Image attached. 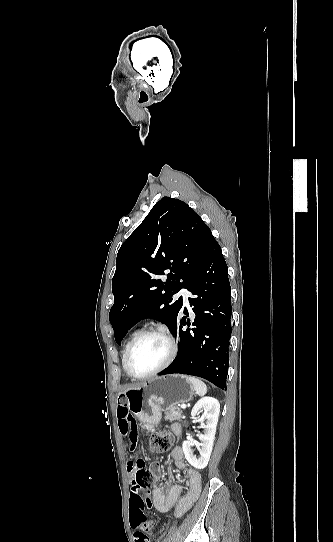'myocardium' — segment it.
<instances>
[{"label":"myocardium","instance_id":"f54148a6","mask_svg":"<svg viewBox=\"0 0 333 542\" xmlns=\"http://www.w3.org/2000/svg\"><path fill=\"white\" fill-rule=\"evenodd\" d=\"M130 236H132V235H130ZM150 335L158 336V337L162 338L166 342L167 347H168L167 357H166L165 361L158 368H156L154 371H152V372H150L148 374L142 375V376H136V375L132 374L130 369H129V360H130L131 353H132L135 345L141 339H143L146 336H150ZM176 355H177V345H176L175 338L171 334V332L169 330H167L165 327H162V326L150 327V328H146V329L141 330L133 338V340L130 342L127 353H126V356H125L124 368H125L126 373L131 378H134V379H147V378L153 377V376L157 375L158 373L162 372L163 370H165L174 361Z\"/></svg>","mask_w":333,"mask_h":542}]
</instances>
